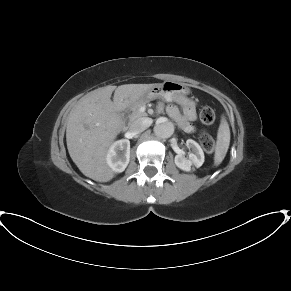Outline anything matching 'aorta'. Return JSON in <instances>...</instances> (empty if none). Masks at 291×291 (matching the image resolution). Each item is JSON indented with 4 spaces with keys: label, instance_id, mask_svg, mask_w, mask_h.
I'll return each instance as SVG.
<instances>
[{
    "label": "aorta",
    "instance_id": "obj_1",
    "mask_svg": "<svg viewBox=\"0 0 291 291\" xmlns=\"http://www.w3.org/2000/svg\"><path fill=\"white\" fill-rule=\"evenodd\" d=\"M153 131L159 138H169L174 133V125L167 119H161L156 122Z\"/></svg>",
    "mask_w": 291,
    "mask_h": 291
}]
</instances>
